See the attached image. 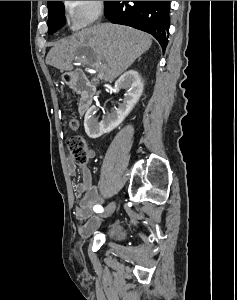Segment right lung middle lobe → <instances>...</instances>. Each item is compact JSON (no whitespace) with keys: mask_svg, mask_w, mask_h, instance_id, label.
Segmentation results:
<instances>
[{"mask_svg":"<svg viewBox=\"0 0 237 300\" xmlns=\"http://www.w3.org/2000/svg\"><path fill=\"white\" fill-rule=\"evenodd\" d=\"M49 16H48V34H53L63 27L65 24V10L62 1H48L47 2Z\"/></svg>","mask_w":237,"mask_h":300,"instance_id":"obj_1","label":"right lung middle lobe"}]
</instances>
